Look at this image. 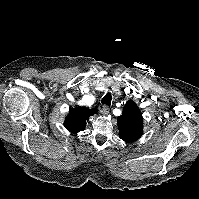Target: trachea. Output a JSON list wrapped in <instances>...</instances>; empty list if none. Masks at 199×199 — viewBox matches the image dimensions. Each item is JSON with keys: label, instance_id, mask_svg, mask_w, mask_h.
Masks as SVG:
<instances>
[{"label": "trachea", "instance_id": "obj_1", "mask_svg": "<svg viewBox=\"0 0 199 199\" xmlns=\"http://www.w3.org/2000/svg\"><path fill=\"white\" fill-rule=\"evenodd\" d=\"M111 100H112V96L111 94L108 92L101 100L102 104H105L107 106L111 105Z\"/></svg>", "mask_w": 199, "mask_h": 199}]
</instances>
